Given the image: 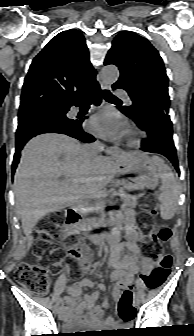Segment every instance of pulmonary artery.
<instances>
[{"instance_id":"pulmonary-artery-1","label":"pulmonary artery","mask_w":194,"mask_h":336,"mask_svg":"<svg viewBox=\"0 0 194 336\" xmlns=\"http://www.w3.org/2000/svg\"><path fill=\"white\" fill-rule=\"evenodd\" d=\"M115 95L117 97L122 98L125 102L130 103V98L126 95V93L123 90L117 89Z\"/></svg>"}]
</instances>
